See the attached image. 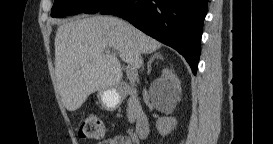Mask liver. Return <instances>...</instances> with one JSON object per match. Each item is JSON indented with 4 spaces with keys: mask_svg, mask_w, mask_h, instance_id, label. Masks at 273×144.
Listing matches in <instances>:
<instances>
[{
    "mask_svg": "<svg viewBox=\"0 0 273 144\" xmlns=\"http://www.w3.org/2000/svg\"><path fill=\"white\" fill-rule=\"evenodd\" d=\"M161 47L159 41L117 17L93 16L63 23L55 37V76L65 108L75 111L90 94L119 86L123 73L113 50L138 69L141 54Z\"/></svg>",
    "mask_w": 273,
    "mask_h": 144,
    "instance_id": "1",
    "label": "liver"
}]
</instances>
